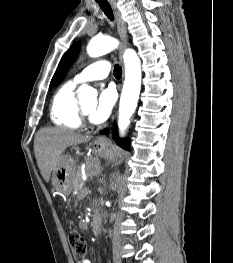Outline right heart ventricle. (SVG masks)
Here are the masks:
<instances>
[{
    "label": "right heart ventricle",
    "instance_id": "e07e8e85",
    "mask_svg": "<svg viewBox=\"0 0 233 263\" xmlns=\"http://www.w3.org/2000/svg\"><path fill=\"white\" fill-rule=\"evenodd\" d=\"M75 81L64 83L53 96L50 117L57 126L79 129L82 126L80 105L75 94Z\"/></svg>",
    "mask_w": 233,
    "mask_h": 263
}]
</instances>
